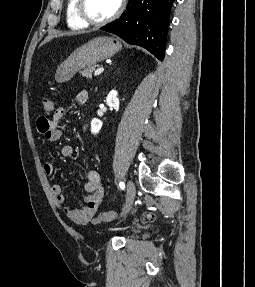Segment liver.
Instances as JSON below:
<instances>
[{
    "label": "liver",
    "mask_w": 255,
    "mask_h": 287,
    "mask_svg": "<svg viewBox=\"0 0 255 287\" xmlns=\"http://www.w3.org/2000/svg\"><path fill=\"white\" fill-rule=\"evenodd\" d=\"M74 32H66V34H60V36H73ZM53 38H56V36H47L45 38L44 42H41L40 46H44V44H47V42H51Z\"/></svg>",
    "instance_id": "obj_1"
}]
</instances>
